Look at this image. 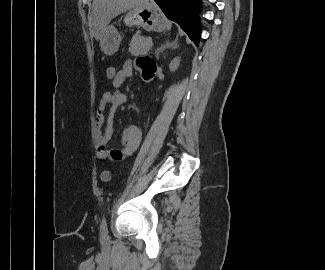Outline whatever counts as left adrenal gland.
I'll return each mask as SVG.
<instances>
[{"label": "left adrenal gland", "mask_w": 325, "mask_h": 270, "mask_svg": "<svg viewBox=\"0 0 325 270\" xmlns=\"http://www.w3.org/2000/svg\"><path fill=\"white\" fill-rule=\"evenodd\" d=\"M178 43H177V40H175L174 42L170 43L168 41H166L163 45H161V47H159L156 51H155V55H156V58L158 59L159 58V54L161 52H163L165 49L167 48H171V49H176L178 48Z\"/></svg>", "instance_id": "left-adrenal-gland-1"}]
</instances>
